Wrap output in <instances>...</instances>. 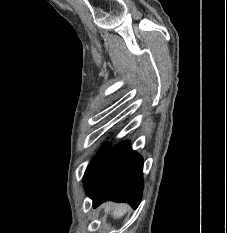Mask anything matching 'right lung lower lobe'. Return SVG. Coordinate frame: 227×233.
I'll use <instances>...</instances> for the list:
<instances>
[{"mask_svg":"<svg viewBox=\"0 0 227 233\" xmlns=\"http://www.w3.org/2000/svg\"><path fill=\"white\" fill-rule=\"evenodd\" d=\"M143 159L129 141L108 150L84 179L86 194L97 207L107 200L137 208L143 191Z\"/></svg>","mask_w":227,"mask_h":233,"instance_id":"right-lung-lower-lobe-1","label":"right lung lower lobe"}]
</instances>
